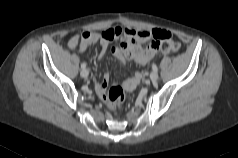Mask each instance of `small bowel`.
Segmentation results:
<instances>
[{
  "label": "small bowel",
  "instance_id": "obj_1",
  "mask_svg": "<svg viewBox=\"0 0 238 158\" xmlns=\"http://www.w3.org/2000/svg\"><path fill=\"white\" fill-rule=\"evenodd\" d=\"M109 34V35H108ZM170 33L162 29H141L134 30L130 28L116 27L103 31L102 33L85 31L81 34L74 35L68 42L71 49L84 51L94 43L100 44V51L97 59L100 60L107 52L110 41L116 38L121 39L119 46L112 48V55L120 60H134L139 65H146L161 50V41L170 37ZM152 40L146 47L142 48L141 44L145 41ZM142 74L137 72L126 82V87L133 90L140 82ZM109 84V75L105 73L100 80H95V89L100 96H104Z\"/></svg>",
  "mask_w": 238,
  "mask_h": 158
}]
</instances>
